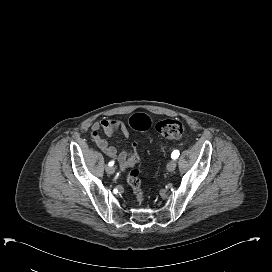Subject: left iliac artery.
Wrapping results in <instances>:
<instances>
[{"label": "left iliac artery", "mask_w": 272, "mask_h": 272, "mask_svg": "<svg viewBox=\"0 0 272 272\" xmlns=\"http://www.w3.org/2000/svg\"><path fill=\"white\" fill-rule=\"evenodd\" d=\"M180 153L178 150H174L171 154L172 159H177L179 157Z\"/></svg>", "instance_id": "1"}]
</instances>
